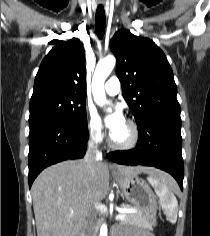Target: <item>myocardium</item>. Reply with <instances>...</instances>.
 I'll list each match as a JSON object with an SVG mask.
<instances>
[{
  "label": "myocardium",
  "instance_id": "1",
  "mask_svg": "<svg viewBox=\"0 0 210 236\" xmlns=\"http://www.w3.org/2000/svg\"><path fill=\"white\" fill-rule=\"evenodd\" d=\"M126 123L129 125L131 129V136L128 141L124 143H118L113 140L112 133H110L108 142H109L110 147H112L113 149L129 150V149L134 148L137 145L139 141V137H140V131H139L137 122L132 118H127Z\"/></svg>",
  "mask_w": 210,
  "mask_h": 236
}]
</instances>
